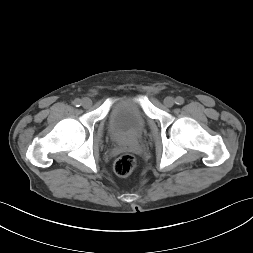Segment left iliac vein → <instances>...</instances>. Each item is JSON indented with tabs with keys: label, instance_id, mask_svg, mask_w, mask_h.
Segmentation results:
<instances>
[{
	"label": "left iliac vein",
	"instance_id": "left-iliac-vein-1",
	"mask_svg": "<svg viewBox=\"0 0 253 253\" xmlns=\"http://www.w3.org/2000/svg\"><path fill=\"white\" fill-rule=\"evenodd\" d=\"M164 104H165V106H167V107H172L174 104H175V99L173 98V97H166L165 99H164Z\"/></svg>",
	"mask_w": 253,
	"mask_h": 253
}]
</instances>
